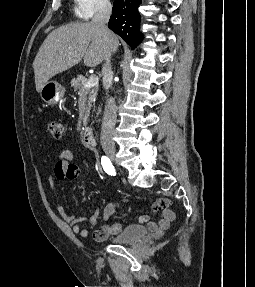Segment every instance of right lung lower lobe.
Listing matches in <instances>:
<instances>
[{
	"instance_id": "1",
	"label": "right lung lower lobe",
	"mask_w": 255,
	"mask_h": 287,
	"mask_svg": "<svg viewBox=\"0 0 255 287\" xmlns=\"http://www.w3.org/2000/svg\"><path fill=\"white\" fill-rule=\"evenodd\" d=\"M140 4L141 0H115L108 23V27L121 36L131 49L136 48L142 40L139 32Z\"/></svg>"
}]
</instances>
